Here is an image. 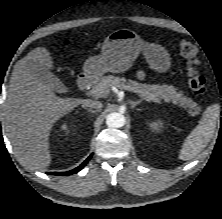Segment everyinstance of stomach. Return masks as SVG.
<instances>
[{"label": "stomach", "mask_w": 222, "mask_h": 219, "mask_svg": "<svg viewBox=\"0 0 222 219\" xmlns=\"http://www.w3.org/2000/svg\"><path fill=\"white\" fill-rule=\"evenodd\" d=\"M141 52L151 69L165 72L170 68L171 58L163 46L143 41L132 30L119 29L106 37L101 55L90 57L85 61L84 75L91 80H97L107 72L127 71Z\"/></svg>", "instance_id": "1"}]
</instances>
